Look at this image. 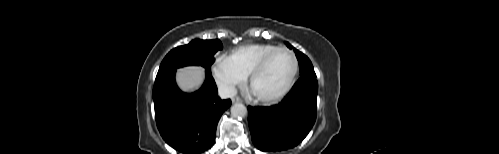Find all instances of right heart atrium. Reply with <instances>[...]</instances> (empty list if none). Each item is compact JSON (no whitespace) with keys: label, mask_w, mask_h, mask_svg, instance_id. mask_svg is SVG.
Here are the masks:
<instances>
[{"label":"right heart atrium","mask_w":499,"mask_h":154,"mask_svg":"<svg viewBox=\"0 0 499 154\" xmlns=\"http://www.w3.org/2000/svg\"><path fill=\"white\" fill-rule=\"evenodd\" d=\"M213 79L226 95H231L235 87L242 84L246 76L231 62L228 56H220L215 59L212 65Z\"/></svg>","instance_id":"d8ad5b80"}]
</instances>
